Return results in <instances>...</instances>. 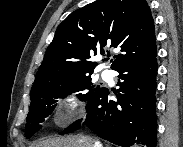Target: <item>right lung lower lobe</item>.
Masks as SVG:
<instances>
[{"label": "right lung lower lobe", "instance_id": "1", "mask_svg": "<svg viewBox=\"0 0 183 147\" xmlns=\"http://www.w3.org/2000/svg\"><path fill=\"white\" fill-rule=\"evenodd\" d=\"M119 72L118 101L109 99V90L100 88L86 104L83 123L100 138L130 147L135 143L156 146V53L125 62ZM77 120L60 134L78 130Z\"/></svg>", "mask_w": 183, "mask_h": 147}]
</instances>
